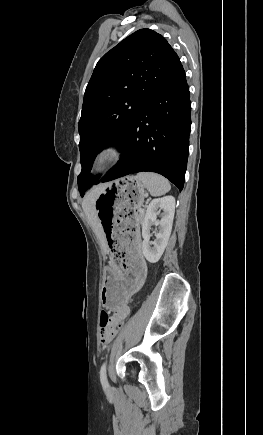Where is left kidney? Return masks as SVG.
<instances>
[{"mask_svg":"<svg viewBox=\"0 0 263 435\" xmlns=\"http://www.w3.org/2000/svg\"><path fill=\"white\" fill-rule=\"evenodd\" d=\"M161 210V219L157 220V215ZM174 213L175 198L173 196L156 198L149 203L142 222V252L148 262L156 263L161 258L171 234ZM152 225L158 227L156 240L152 243L153 246L150 243Z\"/></svg>","mask_w":263,"mask_h":435,"instance_id":"left-kidney-1","label":"left kidney"}]
</instances>
